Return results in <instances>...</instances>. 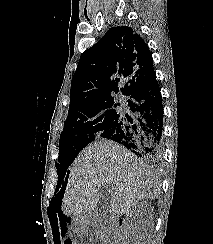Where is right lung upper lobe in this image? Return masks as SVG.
<instances>
[{
	"instance_id": "1",
	"label": "right lung upper lobe",
	"mask_w": 213,
	"mask_h": 244,
	"mask_svg": "<svg viewBox=\"0 0 213 244\" xmlns=\"http://www.w3.org/2000/svg\"><path fill=\"white\" fill-rule=\"evenodd\" d=\"M152 56L144 40L128 26L112 27L92 48L82 53L71 82L70 106L88 104L119 92L132 94L153 71Z\"/></svg>"
}]
</instances>
